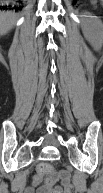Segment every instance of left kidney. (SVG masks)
<instances>
[{
    "mask_svg": "<svg viewBox=\"0 0 103 193\" xmlns=\"http://www.w3.org/2000/svg\"><path fill=\"white\" fill-rule=\"evenodd\" d=\"M84 35L92 43L98 44L102 34V24L97 19H86L84 22Z\"/></svg>",
    "mask_w": 103,
    "mask_h": 193,
    "instance_id": "obj_1",
    "label": "left kidney"
}]
</instances>
